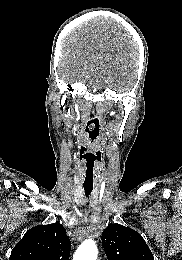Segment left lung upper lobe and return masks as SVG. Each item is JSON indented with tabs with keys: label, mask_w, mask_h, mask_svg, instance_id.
<instances>
[{
	"label": "left lung upper lobe",
	"mask_w": 182,
	"mask_h": 260,
	"mask_svg": "<svg viewBox=\"0 0 182 260\" xmlns=\"http://www.w3.org/2000/svg\"><path fill=\"white\" fill-rule=\"evenodd\" d=\"M102 244L108 260H154L142 236L120 224H109L102 233Z\"/></svg>",
	"instance_id": "obj_1"
}]
</instances>
